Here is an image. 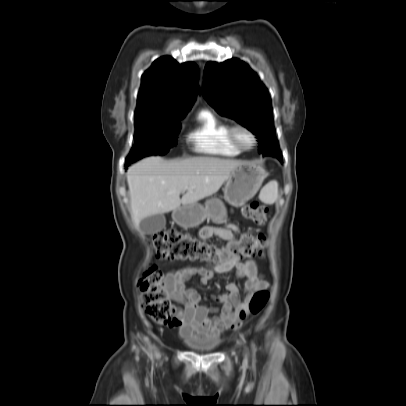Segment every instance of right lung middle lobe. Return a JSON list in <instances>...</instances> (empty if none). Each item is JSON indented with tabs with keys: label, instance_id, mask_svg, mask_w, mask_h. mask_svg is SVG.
Returning a JSON list of instances; mask_svg holds the SVG:
<instances>
[{
	"label": "right lung middle lobe",
	"instance_id": "right-lung-middle-lobe-1",
	"mask_svg": "<svg viewBox=\"0 0 406 406\" xmlns=\"http://www.w3.org/2000/svg\"><path fill=\"white\" fill-rule=\"evenodd\" d=\"M135 137L126 166L149 155L166 154L176 145L180 130L179 119L135 116Z\"/></svg>",
	"mask_w": 406,
	"mask_h": 406
}]
</instances>
